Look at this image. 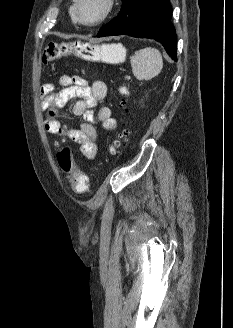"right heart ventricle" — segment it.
Segmentation results:
<instances>
[{
  "instance_id": "obj_1",
  "label": "right heart ventricle",
  "mask_w": 233,
  "mask_h": 328,
  "mask_svg": "<svg viewBox=\"0 0 233 328\" xmlns=\"http://www.w3.org/2000/svg\"><path fill=\"white\" fill-rule=\"evenodd\" d=\"M70 15H71V19L73 21H75V16H74V13H73V7H71V9H70Z\"/></svg>"
}]
</instances>
